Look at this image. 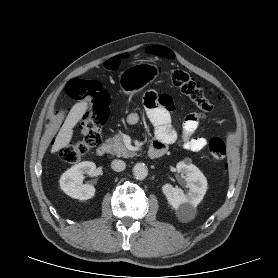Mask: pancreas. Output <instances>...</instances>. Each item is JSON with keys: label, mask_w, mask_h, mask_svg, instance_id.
<instances>
[{"label": "pancreas", "mask_w": 278, "mask_h": 278, "mask_svg": "<svg viewBox=\"0 0 278 278\" xmlns=\"http://www.w3.org/2000/svg\"><path fill=\"white\" fill-rule=\"evenodd\" d=\"M108 144V152L118 157L129 158L135 155V152L130 151L123 143L122 136L120 134L115 135L113 138L106 140Z\"/></svg>", "instance_id": "pancreas-1"}]
</instances>
